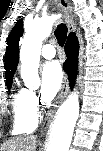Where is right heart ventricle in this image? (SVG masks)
<instances>
[{
    "instance_id": "e07e8e85",
    "label": "right heart ventricle",
    "mask_w": 103,
    "mask_h": 151,
    "mask_svg": "<svg viewBox=\"0 0 103 151\" xmlns=\"http://www.w3.org/2000/svg\"><path fill=\"white\" fill-rule=\"evenodd\" d=\"M13 134H29L38 125V118L28 108L24 89L18 90L12 98Z\"/></svg>"
}]
</instances>
